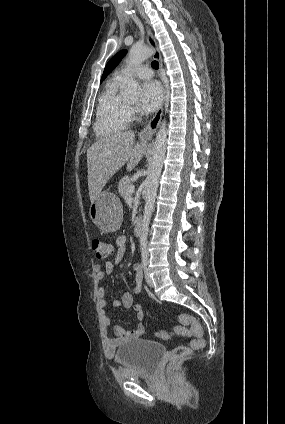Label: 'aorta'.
Here are the masks:
<instances>
[{
  "label": "aorta",
  "instance_id": "762f6f07",
  "mask_svg": "<svg viewBox=\"0 0 285 424\" xmlns=\"http://www.w3.org/2000/svg\"><path fill=\"white\" fill-rule=\"evenodd\" d=\"M153 50L147 46L132 47L129 51L127 63L131 66H137L152 56ZM140 89L138 82L130 75L127 79L125 93L127 95H136ZM167 129L166 122L163 121L156 134L153 156L148 167L146 183V198L144 206V214L141 228L140 244L145 247L147 244V236L149 232V224L154 209V203L157 195L159 178L161 175L163 162L166 153Z\"/></svg>",
  "mask_w": 285,
  "mask_h": 424
}]
</instances>
